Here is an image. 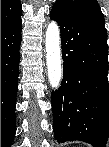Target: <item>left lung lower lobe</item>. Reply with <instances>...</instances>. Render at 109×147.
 Returning a JSON list of instances; mask_svg holds the SVG:
<instances>
[{
  "label": "left lung lower lobe",
  "instance_id": "obj_1",
  "mask_svg": "<svg viewBox=\"0 0 109 147\" xmlns=\"http://www.w3.org/2000/svg\"><path fill=\"white\" fill-rule=\"evenodd\" d=\"M50 18L60 26L63 80L52 94L54 135L59 143L80 140L105 147L109 134L107 32L60 7ZM78 72L77 91L68 89L65 76Z\"/></svg>",
  "mask_w": 109,
  "mask_h": 147
}]
</instances>
